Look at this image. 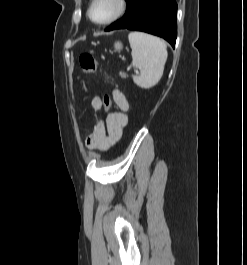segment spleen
<instances>
[{
    "label": "spleen",
    "instance_id": "3e777b00",
    "mask_svg": "<svg viewBox=\"0 0 247 265\" xmlns=\"http://www.w3.org/2000/svg\"><path fill=\"white\" fill-rule=\"evenodd\" d=\"M128 39L132 49V65L140 70L138 75L132 76L133 81L141 88H151L163 75L167 60L166 43L143 32H131Z\"/></svg>",
    "mask_w": 247,
    "mask_h": 265
}]
</instances>
